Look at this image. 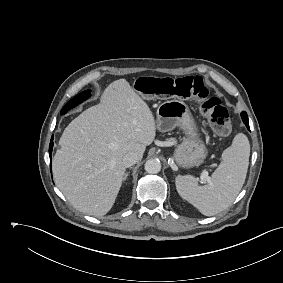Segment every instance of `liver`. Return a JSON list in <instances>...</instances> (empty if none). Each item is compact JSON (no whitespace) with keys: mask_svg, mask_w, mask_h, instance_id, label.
Wrapping results in <instances>:
<instances>
[{"mask_svg":"<svg viewBox=\"0 0 283 283\" xmlns=\"http://www.w3.org/2000/svg\"><path fill=\"white\" fill-rule=\"evenodd\" d=\"M156 136L154 116L125 79L104 90L100 104L76 117L64 130L53 158L55 183L78 210L105 215L124 180L122 158L142 160Z\"/></svg>","mask_w":283,"mask_h":283,"instance_id":"1","label":"liver"}]
</instances>
